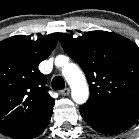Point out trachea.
I'll return each mask as SVG.
<instances>
[{
	"mask_svg": "<svg viewBox=\"0 0 139 139\" xmlns=\"http://www.w3.org/2000/svg\"><path fill=\"white\" fill-rule=\"evenodd\" d=\"M51 86L55 90H62L65 88L64 79L61 76H56L53 78Z\"/></svg>",
	"mask_w": 139,
	"mask_h": 139,
	"instance_id": "trachea-1",
	"label": "trachea"
}]
</instances>
